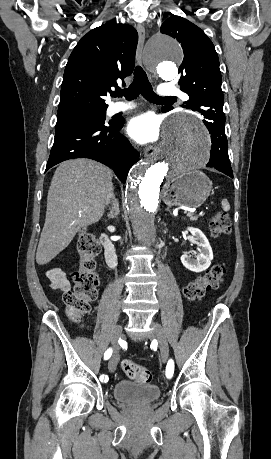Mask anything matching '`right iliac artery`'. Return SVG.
<instances>
[{
    "label": "right iliac artery",
    "instance_id": "right-iliac-artery-1",
    "mask_svg": "<svg viewBox=\"0 0 271 459\" xmlns=\"http://www.w3.org/2000/svg\"><path fill=\"white\" fill-rule=\"evenodd\" d=\"M111 355H112V349L109 348V349H107V351L104 353V359H105V360H108V359L111 357ZM101 376H102V378L104 379V382H109V379H110V378H109V376H108L107 373L104 372V373H102Z\"/></svg>",
    "mask_w": 271,
    "mask_h": 459
}]
</instances>
